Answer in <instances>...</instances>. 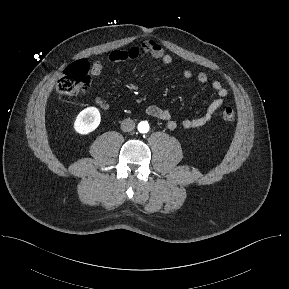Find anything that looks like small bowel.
Here are the masks:
<instances>
[{
    "mask_svg": "<svg viewBox=\"0 0 289 289\" xmlns=\"http://www.w3.org/2000/svg\"><path fill=\"white\" fill-rule=\"evenodd\" d=\"M141 52L149 54L153 58L162 61L164 64H171L173 62L172 56L166 53L163 47L153 40L144 41L140 48L130 47L124 50H114L108 54L107 61L111 63H118L135 60L140 56ZM102 69H103L102 62L99 60L95 61L91 66L90 76L91 77L99 76L102 72ZM183 76L185 78H191L192 77L191 70L185 69L183 71ZM197 80L201 84H207L209 81L207 74L204 72H201L197 75ZM211 87L216 93L217 98L214 99L209 104L206 112L203 115L194 118L184 119L182 121V126L185 129L199 128L204 126L213 118L216 112L223 106L224 99L228 94L227 89L221 84V82L216 80L211 82ZM95 101L96 104L103 109L110 108L109 102L101 97H97ZM145 112L147 115L153 118L165 121L168 129L174 130L177 128V122L172 118L171 113L167 109L157 105H149L146 107Z\"/></svg>",
    "mask_w": 289,
    "mask_h": 289,
    "instance_id": "small-bowel-1",
    "label": "small bowel"
}]
</instances>
